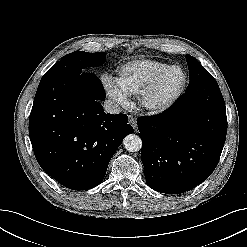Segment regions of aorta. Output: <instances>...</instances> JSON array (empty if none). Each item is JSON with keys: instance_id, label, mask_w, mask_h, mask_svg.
I'll use <instances>...</instances> for the list:
<instances>
[{"instance_id": "1", "label": "aorta", "mask_w": 247, "mask_h": 247, "mask_svg": "<svg viewBox=\"0 0 247 247\" xmlns=\"http://www.w3.org/2000/svg\"><path fill=\"white\" fill-rule=\"evenodd\" d=\"M124 147L129 152H137L142 148V140L138 135L129 134L123 139Z\"/></svg>"}]
</instances>
